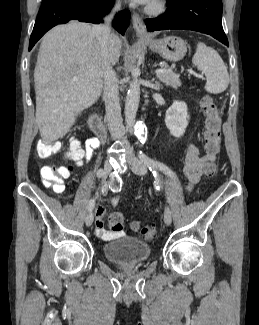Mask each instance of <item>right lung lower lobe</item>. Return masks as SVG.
Returning a JSON list of instances; mask_svg holds the SVG:
<instances>
[{
  "mask_svg": "<svg viewBox=\"0 0 259 325\" xmlns=\"http://www.w3.org/2000/svg\"><path fill=\"white\" fill-rule=\"evenodd\" d=\"M114 0H43L29 42V51L52 27L70 20L98 24L109 13ZM130 22L127 10L119 12L113 27L124 35Z\"/></svg>",
  "mask_w": 259,
  "mask_h": 325,
  "instance_id": "98d812e1",
  "label": "right lung lower lobe"
}]
</instances>
